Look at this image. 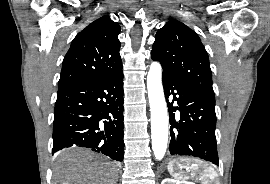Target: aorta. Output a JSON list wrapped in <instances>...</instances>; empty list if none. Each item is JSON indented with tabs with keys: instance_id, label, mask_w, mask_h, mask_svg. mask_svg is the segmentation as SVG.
Masks as SVG:
<instances>
[{
	"instance_id": "obj_1",
	"label": "aorta",
	"mask_w": 270,
	"mask_h": 184,
	"mask_svg": "<svg viewBox=\"0 0 270 184\" xmlns=\"http://www.w3.org/2000/svg\"><path fill=\"white\" fill-rule=\"evenodd\" d=\"M147 90L151 112L152 150L157 160L163 159L168 143V116L162 87V67L152 62L147 75Z\"/></svg>"
}]
</instances>
